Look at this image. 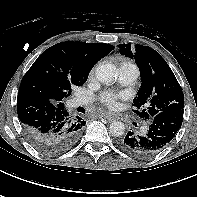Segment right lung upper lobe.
Here are the masks:
<instances>
[{
	"instance_id": "1",
	"label": "right lung upper lobe",
	"mask_w": 197,
	"mask_h": 197,
	"mask_svg": "<svg viewBox=\"0 0 197 197\" xmlns=\"http://www.w3.org/2000/svg\"><path fill=\"white\" fill-rule=\"evenodd\" d=\"M114 49L109 44H89L78 41L58 43L45 50L24 75L20 89L35 91L32 81L47 77L63 85L83 84L94 64Z\"/></svg>"
}]
</instances>
